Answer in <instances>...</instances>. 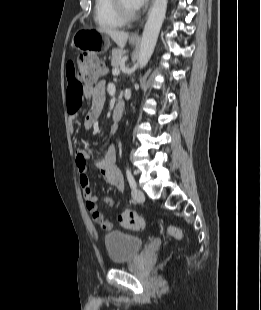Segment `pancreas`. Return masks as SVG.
<instances>
[{
	"mask_svg": "<svg viewBox=\"0 0 261 310\" xmlns=\"http://www.w3.org/2000/svg\"><path fill=\"white\" fill-rule=\"evenodd\" d=\"M122 56L123 52L121 50L118 49L112 50L111 65L113 66V68H118Z\"/></svg>",
	"mask_w": 261,
	"mask_h": 310,
	"instance_id": "obj_1",
	"label": "pancreas"
}]
</instances>
